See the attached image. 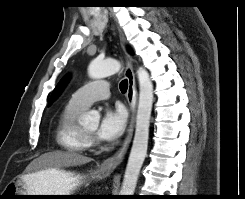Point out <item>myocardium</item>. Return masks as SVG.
<instances>
[{"label":"myocardium","instance_id":"myocardium-1","mask_svg":"<svg viewBox=\"0 0 245 199\" xmlns=\"http://www.w3.org/2000/svg\"><path fill=\"white\" fill-rule=\"evenodd\" d=\"M83 132L85 134V136L88 138V140L91 142H95L96 138L94 134H90L88 133L85 129H83Z\"/></svg>","mask_w":245,"mask_h":199}]
</instances>
